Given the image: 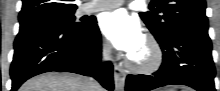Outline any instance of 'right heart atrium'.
Segmentation results:
<instances>
[{
	"instance_id": "right-heart-atrium-1",
	"label": "right heart atrium",
	"mask_w": 220,
	"mask_h": 91,
	"mask_svg": "<svg viewBox=\"0 0 220 91\" xmlns=\"http://www.w3.org/2000/svg\"><path fill=\"white\" fill-rule=\"evenodd\" d=\"M101 48H102V52L105 56L109 55L110 54V51H111V47H110V44L107 42V41H103L102 44H101Z\"/></svg>"
}]
</instances>
